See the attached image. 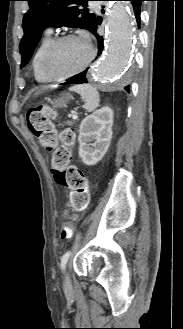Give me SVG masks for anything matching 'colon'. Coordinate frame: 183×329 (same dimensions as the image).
<instances>
[{
  "label": "colon",
  "mask_w": 183,
  "mask_h": 329,
  "mask_svg": "<svg viewBox=\"0 0 183 329\" xmlns=\"http://www.w3.org/2000/svg\"><path fill=\"white\" fill-rule=\"evenodd\" d=\"M55 115V110L48 105L30 109L27 113V125L46 150L55 149L51 172L56 184L69 190L70 207L68 211L73 217H76L77 211H82L87 206L88 181L82 170L71 164L75 133L72 129L58 132L53 123ZM58 143H60L59 146H57ZM71 235L70 226L61 227L59 236L62 240L69 239Z\"/></svg>",
  "instance_id": "colon-1"
}]
</instances>
